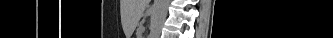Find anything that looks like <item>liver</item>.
Listing matches in <instances>:
<instances>
[{
	"label": "liver",
	"mask_w": 333,
	"mask_h": 38,
	"mask_svg": "<svg viewBox=\"0 0 333 38\" xmlns=\"http://www.w3.org/2000/svg\"><path fill=\"white\" fill-rule=\"evenodd\" d=\"M149 0H133V23H138Z\"/></svg>",
	"instance_id": "obj_1"
}]
</instances>
